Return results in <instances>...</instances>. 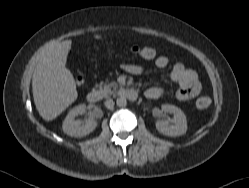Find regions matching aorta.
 I'll use <instances>...</instances> for the list:
<instances>
[{
  "mask_svg": "<svg viewBox=\"0 0 249 188\" xmlns=\"http://www.w3.org/2000/svg\"><path fill=\"white\" fill-rule=\"evenodd\" d=\"M116 103H117V106H119V107H125L127 105V100L125 97L121 96V97L117 98Z\"/></svg>",
  "mask_w": 249,
  "mask_h": 188,
  "instance_id": "aorta-1",
  "label": "aorta"
}]
</instances>
